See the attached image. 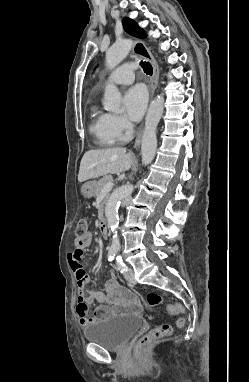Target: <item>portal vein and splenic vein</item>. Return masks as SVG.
<instances>
[{
  "label": "portal vein and splenic vein",
  "instance_id": "portal-vein-and-splenic-vein-1",
  "mask_svg": "<svg viewBox=\"0 0 249 382\" xmlns=\"http://www.w3.org/2000/svg\"><path fill=\"white\" fill-rule=\"evenodd\" d=\"M113 182H108L106 185H105V187H104V189L102 190L103 192H109L111 189H112V187H113Z\"/></svg>",
  "mask_w": 249,
  "mask_h": 382
}]
</instances>
